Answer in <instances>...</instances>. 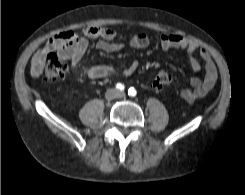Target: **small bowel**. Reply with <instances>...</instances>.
I'll list each match as a JSON object with an SVG mask.
<instances>
[{
    "mask_svg": "<svg viewBox=\"0 0 245 195\" xmlns=\"http://www.w3.org/2000/svg\"><path fill=\"white\" fill-rule=\"evenodd\" d=\"M115 37V30L103 26L87 27L81 35L73 31L59 33L50 39L45 47L34 54L31 61V74L34 77L39 76L47 56L56 52L61 59L70 60L74 71L81 76L90 79L112 77L117 74L115 67L111 65L82 67L80 61L88 48V39H98L97 48L105 52H115L123 49L125 45L114 42ZM160 40L164 50L181 49L186 51L194 71L201 69L200 62L194 56L196 52L199 53L204 63L205 75L202 79L191 78L190 87L181 91V98L186 103H191L205 96L214 87L217 80V68L209 52L196 42L177 34H163ZM128 45L135 49L146 48L149 45V39L146 34L139 33L130 39ZM137 67L138 62L133 60L121 71V74L129 76L136 71Z\"/></svg>",
    "mask_w": 245,
    "mask_h": 195,
    "instance_id": "c3829d8e",
    "label": "small bowel"
}]
</instances>
